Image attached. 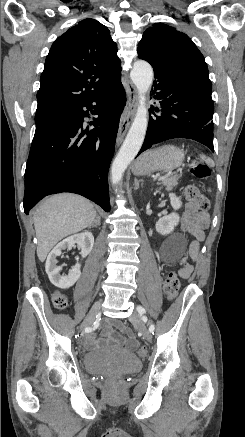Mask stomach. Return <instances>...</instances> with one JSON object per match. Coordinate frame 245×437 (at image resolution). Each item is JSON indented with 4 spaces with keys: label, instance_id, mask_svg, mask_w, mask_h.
Here are the masks:
<instances>
[{
    "label": "stomach",
    "instance_id": "0dacf381",
    "mask_svg": "<svg viewBox=\"0 0 245 437\" xmlns=\"http://www.w3.org/2000/svg\"><path fill=\"white\" fill-rule=\"evenodd\" d=\"M184 152L177 146L165 145L141 155L133 166L135 175L173 170L182 165Z\"/></svg>",
    "mask_w": 245,
    "mask_h": 437
}]
</instances>
